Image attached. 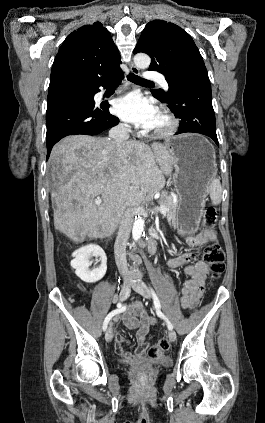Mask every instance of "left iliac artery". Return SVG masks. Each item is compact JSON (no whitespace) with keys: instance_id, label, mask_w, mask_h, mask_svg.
I'll return each mask as SVG.
<instances>
[{"instance_id":"1","label":"left iliac artery","mask_w":265,"mask_h":423,"mask_svg":"<svg viewBox=\"0 0 265 423\" xmlns=\"http://www.w3.org/2000/svg\"><path fill=\"white\" fill-rule=\"evenodd\" d=\"M151 292H152V295H153L154 305H155V309H156L157 315L166 322L168 329L169 330H172L173 329V325L168 320V318L162 313L160 301H159L156 293L154 292V290L152 288H151Z\"/></svg>"}]
</instances>
